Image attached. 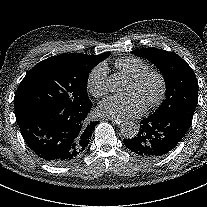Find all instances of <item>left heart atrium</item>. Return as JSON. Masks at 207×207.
<instances>
[{"instance_id": "39dd6f15", "label": "left heart atrium", "mask_w": 207, "mask_h": 207, "mask_svg": "<svg viewBox=\"0 0 207 207\" xmlns=\"http://www.w3.org/2000/svg\"><path fill=\"white\" fill-rule=\"evenodd\" d=\"M144 104L135 94L125 97L109 96L99 104V112L113 119H130L143 113Z\"/></svg>"}]
</instances>
